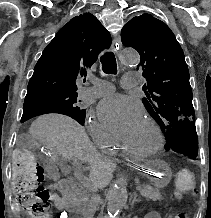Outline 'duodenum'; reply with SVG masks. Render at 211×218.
Listing matches in <instances>:
<instances>
[{
  "mask_svg": "<svg viewBox=\"0 0 211 218\" xmlns=\"http://www.w3.org/2000/svg\"><path fill=\"white\" fill-rule=\"evenodd\" d=\"M57 186L62 194L65 208L71 218H82V212L76 197L73 182L68 179H64L58 182Z\"/></svg>",
  "mask_w": 211,
  "mask_h": 218,
  "instance_id": "duodenum-1",
  "label": "duodenum"
}]
</instances>
